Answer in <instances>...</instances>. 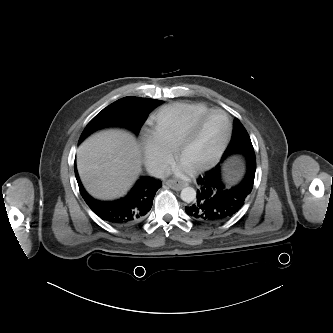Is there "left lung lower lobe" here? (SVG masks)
Returning <instances> with one entry per match:
<instances>
[{
	"label": "left lung lower lobe",
	"mask_w": 333,
	"mask_h": 333,
	"mask_svg": "<svg viewBox=\"0 0 333 333\" xmlns=\"http://www.w3.org/2000/svg\"><path fill=\"white\" fill-rule=\"evenodd\" d=\"M246 174L240 184L227 188L221 181L222 160L215 168L197 179L196 202L185 207L188 215L201 222L216 223L233 216L251 193L256 171L255 155H243Z\"/></svg>",
	"instance_id": "left-lung-lower-lobe-1"
}]
</instances>
